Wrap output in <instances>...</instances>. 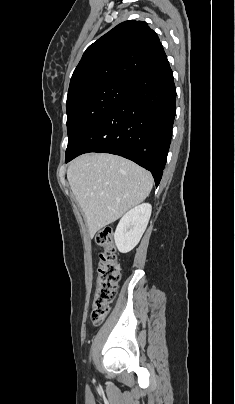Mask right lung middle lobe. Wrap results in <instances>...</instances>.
Instances as JSON below:
<instances>
[{
	"label": "right lung middle lobe",
	"instance_id": "right-lung-middle-lobe-1",
	"mask_svg": "<svg viewBox=\"0 0 235 404\" xmlns=\"http://www.w3.org/2000/svg\"><path fill=\"white\" fill-rule=\"evenodd\" d=\"M125 83L107 82L86 88L67 100L68 146L70 155L90 128L122 97Z\"/></svg>",
	"mask_w": 235,
	"mask_h": 404
}]
</instances>
